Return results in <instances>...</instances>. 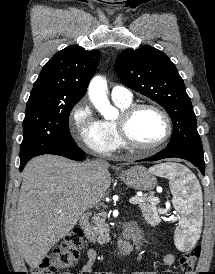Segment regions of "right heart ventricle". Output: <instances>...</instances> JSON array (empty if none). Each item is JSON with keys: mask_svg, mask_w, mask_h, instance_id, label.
<instances>
[{"mask_svg": "<svg viewBox=\"0 0 215 274\" xmlns=\"http://www.w3.org/2000/svg\"><path fill=\"white\" fill-rule=\"evenodd\" d=\"M115 105L122 111L132 104V101H117L113 100ZM101 126L104 132L111 138L113 144V150L124 147L123 143L120 140L115 120H102Z\"/></svg>", "mask_w": 215, "mask_h": 274, "instance_id": "1", "label": "right heart ventricle"}]
</instances>
